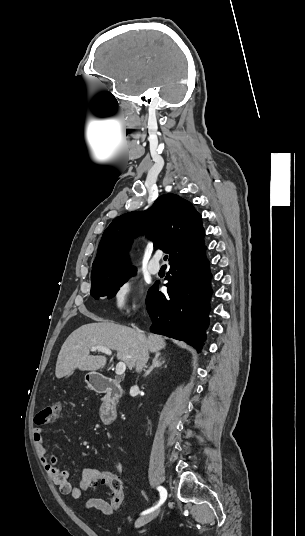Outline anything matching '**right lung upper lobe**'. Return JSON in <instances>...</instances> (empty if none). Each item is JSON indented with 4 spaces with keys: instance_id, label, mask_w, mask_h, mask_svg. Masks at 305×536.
Instances as JSON below:
<instances>
[{
    "instance_id": "cb5924a9",
    "label": "right lung upper lobe",
    "mask_w": 305,
    "mask_h": 536,
    "mask_svg": "<svg viewBox=\"0 0 305 536\" xmlns=\"http://www.w3.org/2000/svg\"><path fill=\"white\" fill-rule=\"evenodd\" d=\"M145 231L154 247L163 249L169 262L183 258L204 246L201 215L192 204L176 194L160 196L144 212H129L115 218L104 231L92 265L91 281L123 275L136 270L126 261L132 238Z\"/></svg>"
}]
</instances>
